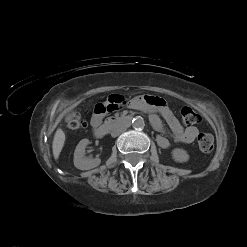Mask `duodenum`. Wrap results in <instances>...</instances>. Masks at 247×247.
Here are the masks:
<instances>
[{"mask_svg":"<svg viewBox=\"0 0 247 247\" xmlns=\"http://www.w3.org/2000/svg\"><path fill=\"white\" fill-rule=\"evenodd\" d=\"M133 117L131 115H124L119 117H112L106 120L103 124H99L94 127V135L97 138L104 137L113 127L117 125H128L132 122Z\"/></svg>","mask_w":247,"mask_h":247,"instance_id":"duodenum-1","label":"duodenum"}]
</instances>
